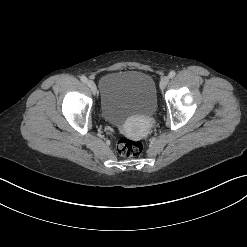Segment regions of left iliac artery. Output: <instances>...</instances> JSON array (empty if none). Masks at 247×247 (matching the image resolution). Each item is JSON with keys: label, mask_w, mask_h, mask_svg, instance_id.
<instances>
[{"label": "left iliac artery", "mask_w": 247, "mask_h": 247, "mask_svg": "<svg viewBox=\"0 0 247 247\" xmlns=\"http://www.w3.org/2000/svg\"><path fill=\"white\" fill-rule=\"evenodd\" d=\"M175 75H176V72H175V71H171V72L169 73V77H170V78H173Z\"/></svg>", "instance_id": "left-iliac-artery-1"}]
</instances>
